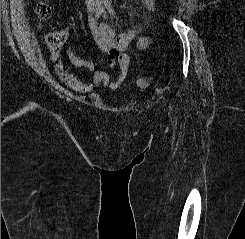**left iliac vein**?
Here are the masks:
<instances>
[{"instance_id":"1","label":"left iliac vein","mask_w":245,"mask_h":239,"mask_svg":"<svg viewBox=\"0 0 245 239\" xmlns=\"http://www.w3.org/2000/svg\"><path fill=\"white\" fill-rule=\"evenodd\" d=\"M97 11H98V12H101V15H102L104 18H107V14H106V12H105V10H104V7H103L101 4L98 5Z\"/></svg>"}]
</instances>
